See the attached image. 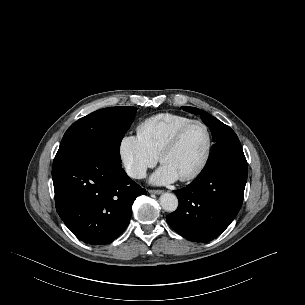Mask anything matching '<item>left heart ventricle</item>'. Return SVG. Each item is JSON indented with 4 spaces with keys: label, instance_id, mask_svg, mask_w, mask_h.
<instances>
[{
    "label": "left heart ventricle",
    "instance_id": "left-heart-ventricle-1",
    "mask_svg": "<svg viewBox=\"0 0 305 305\" xmlns=\"http://www.w3.org/2000/svg\"><path fill=\"white\" fill-rule=\"evenodd\" d=\"M206 132L198 124L190 126L182 135L178 145L165 155L163 164L176 173L178 178L193 171L200 163L205 147Z\"/></svg>",
    "mask_w": 305,
    "mask_h": 305
}]
</instances>
